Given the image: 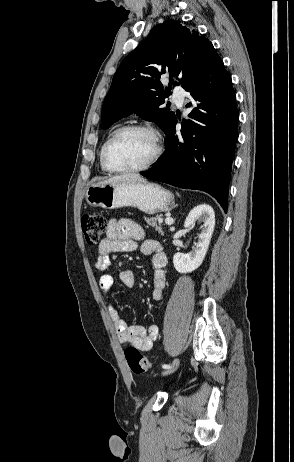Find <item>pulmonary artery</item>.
<instances>
[{"instance_id": "pulmonary-artery-1", "label": "pulmonary artery", "mask_w": 294, "mask_h": 462, "mask_svg": "<svg viewBox=\"0 0 294 462\" xmlns=\"http://www.w3.org/2000/svg\"><path fill=\"white\" fill-rule=\"evenodd\" d=\"M186 93L181 87H175L173 90V101L179 107H182L185 101Z\"/></svg>"}]
</instances>
